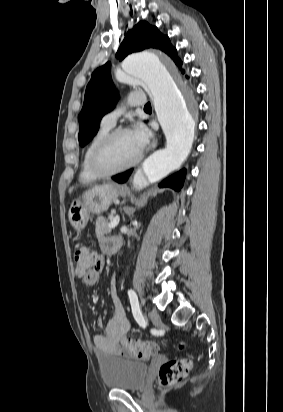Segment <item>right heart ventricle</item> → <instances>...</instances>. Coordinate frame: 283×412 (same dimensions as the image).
<instances>
[{
  "mask_svg": "<svg viewBox=\"0 0 283 412\" xmlns=\"http://www.w3.org/2000/svg\"><path fill=\"white\" fill-rule=\"evenodd\" d=\"M111 127L100 125L99 129L93 134L89 142L87 143L80 165V179L81 181L88 182L93 181L97 178L96 174L93 172L90 166V157L93 148L97 144V142L110 131Z\"/></svg>",
  "mask_w": 283,
  "mask_h": 412,
  "instance_id": "1",
  "label": "right heart ventricle"
}]
</instances>
